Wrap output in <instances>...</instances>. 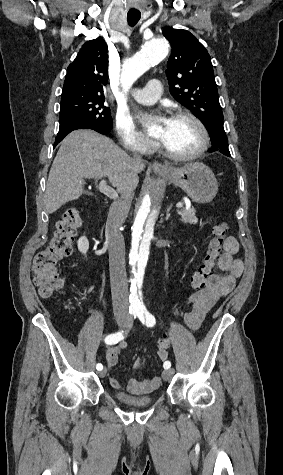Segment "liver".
<instances>
[{"label":"liver","mask_w":283,"mask_h":475,"mask_svg":"<svg viewBox=\"0 0 283 475\" xmlns=\"http://www.w3.org/2000/svg\"><path fill=\"white\" fill-rule=\"evenodd\" d=\"M143 160L130 158L113 140L94 130L71 132L57 152L51 166L45 204L48 214L78 200L83 194V178H108L118 194L133 196L144 170Z\"/></svg>","instance_id":"6515ba94"}]
</instances>
